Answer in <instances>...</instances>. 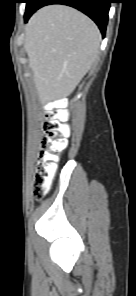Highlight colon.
<instances>
[{
    "label": "colon",
    "mask_w": 136,
    "mask_h": 296,
    "mask_svg": "<svg viewBox=\"0 0 136 296\" xmlns=\"http://www.w3.org/2000/svg\"><path fill=\"white\" fill-rule=\"evenodd\" d=\"M48 107V106H47ZM45 135L41 141L40 160L36 164L34 195L41 199L49 190L54 177L59 154L66 148L68 125L64 110L47 109L45 114Z\"/></svg>",
    "instance_id": "5ec220e1"
}]
</instances>
